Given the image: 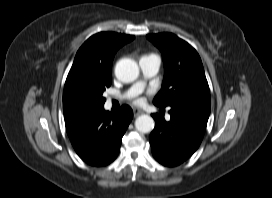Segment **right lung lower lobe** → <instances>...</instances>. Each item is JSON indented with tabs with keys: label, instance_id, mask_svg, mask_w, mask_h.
Masks as SVG:
<instances>
[{
	"label": "right lung lower lobe",
	"instance_id": "obj_1",
	"mask_svg": "<svg viewBox=\"0 0 272 198\" xmlns=\"http://www.w3.org/2000/svg\"><path fill=\"white\" fill-rule=\"evenodd\" d=\"M132 117L133 111L127 105H123L116 113L100 107L65 122V125L80 158L90 165L104 166L117 157L122 137Z\"/></svg>",
	"mask_w": 272,
	"mask_h": 198
}]
</instances>
